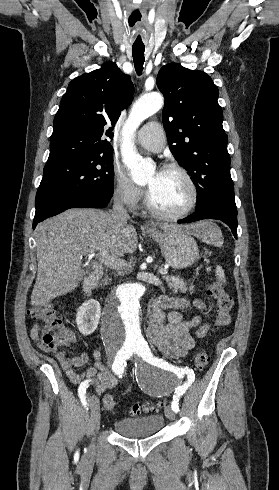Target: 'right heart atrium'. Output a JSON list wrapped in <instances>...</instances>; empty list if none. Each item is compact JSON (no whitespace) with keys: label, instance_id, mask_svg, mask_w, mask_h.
Returning a JSON list of instances; mask_svg holds the SVG:
<instances>
[{"label":"right heart atrium","instance_id":"obj_1","mask_svg":"<svg viewBox=\"0 0 279 490\" xmlns=\"http://www.w3.org/2000/svg\"><path fill=\"white\" fill-rule=\"evenodd\" d=\"M112 187L118 201L132 210L137 209L144 198L143 190L117 165L112 168Z\"/></svg>","mask_w":279,"mask_h":490}]
</instances>
